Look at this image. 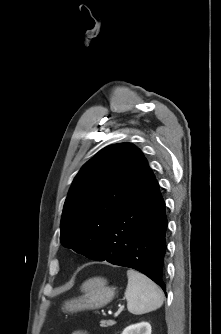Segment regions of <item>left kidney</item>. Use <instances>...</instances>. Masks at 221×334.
I'll use <instances>...</instances> for the list:
<instances>
[{
  "label": "left kidney",
  "mask_w": 221,
  "mask_h": 334,
  "mask_svg": "<svg viewBox=\"0 0 221 334\" xmlns=\"http://www.w3.org/2000/svg\"><path fill=\"white\" fill-rule=\"evenodd\" d=\"M122 334H151V325L148 322L130 325L124 329Z\"/></svg>",
  "instance_id": "5707ae66"
}]
</instances>
